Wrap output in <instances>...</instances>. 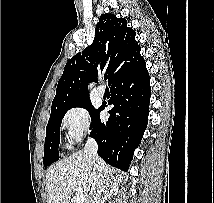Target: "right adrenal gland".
Here are the masks:
<instances>
[{"label": "right adrenal gland", "instance_id": "2a0ac1e0", "mask_svg": "<svg viewBox=\"0 0 214 203\" xmlns=\"http://www.w3.org/2000/svg\"><path fill=\"white\" fill-rule=\"evenodd\" d=\"M118 181H120V179H118ZM108 199V198H107ZM106 199L104 198L103 201L101 203H105Z\"/></svg>", "mask_w": 214, "mask_h": 203}]
</instances>
